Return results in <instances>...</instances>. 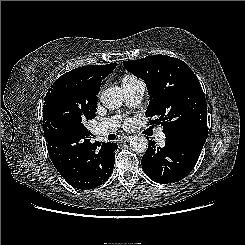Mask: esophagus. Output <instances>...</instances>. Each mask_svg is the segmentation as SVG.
Masks as SVG:
<instances>
[{
	"instance_id": "obj_1",
	"label": "esophagus",
	"mask_w": 245,
	"mask_h": 245,
	"mask_svg": "<svg viewBox=\"0 0 245 245\" xmlns=\"http://www.w3.org/2000/svg\"><path fill=\"white\" fill-rule=\"evenodd\" d=\"M132 136L131 135H124L121 137V141L122 142H128L129 140H131Z\"/></svg>"
}]
</instances>
